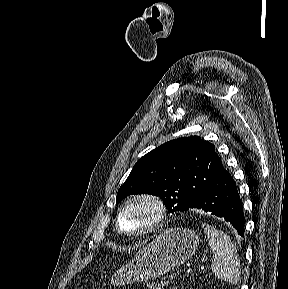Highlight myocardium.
<instances>
[{
  "mask_svg": "<svg viewBox=\"0 0 288 289\" xmlns=\"http://www.w3.org/2000/svg\"><path fill=\"white\" fill-rule=\"evenodd\" d=\"M138 202L146 203L152 208L153 218L148 225H146L144 228L138 231L135 232L124 231L120 225L121 215L127 207ZM165 219H166V206L164 201L160 197L151 193H138L128 198L118 209L115 218V226L116 229L122 235L131 238H138L152 234L161 229L165 223Z\"/></svg>",
  "mask_w": 288,
  "mask_h": 289,
  "instance_id": "1",
  "label": "myocardium"
}]
</instances>
